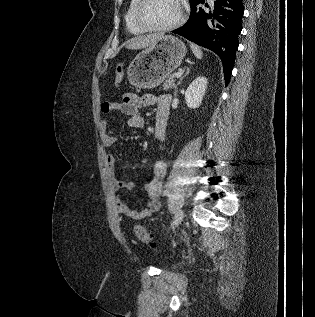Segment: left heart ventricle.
Listing matches in <instances>:
<instances>
[{"mask_svg": "<svg viewBox=\"0 0 315 317\" xmlns=\"http://www.w3.org/2000/svg\"><path fill=\"white\" fill-rule=\"evenodd\" d=\"M180 14L178 0H148L142 9V19L153 26H165L174 22Z\"/></svg>", "mask_w": 315, "mask_h": 317, "instance_id": "obj_1", "label": "left heart ventricle"}]
</instances>
